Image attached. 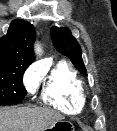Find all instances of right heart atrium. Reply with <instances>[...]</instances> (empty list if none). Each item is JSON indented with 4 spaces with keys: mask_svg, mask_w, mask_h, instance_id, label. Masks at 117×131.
I'll return each mask as SVG.
<instances>
[{
    "mask_svg": "<svg viewBox=\"0 0 117 131\" xmlns=\"http://www.w3.org/2000/svg\"><path fill=\"white\" fill-rule=\"evenodd\" d=\"M23 81L26 89L29 92H34L40 81V73L34 68L30 67L24 74Z\"/></svg>",
    "mask_w": 117,
    "mask_h": 131,
    "instance_id": "1",
    "label": "right heart atrium"
}]
</instances>
